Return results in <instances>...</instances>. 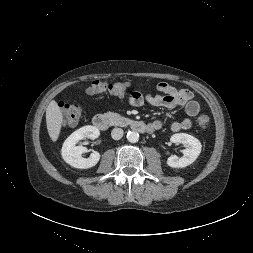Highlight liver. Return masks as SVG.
<instances>
[{"mask_svg":"<svg viewBox=\"0 0 253 253\" xmlns=\"http://www.w3.org/2000/svg\"><path fill=\"white\" fill-rule=\"evenodd\" d=\"M63 123V115L55 100H52L46 109V124L49 136L53 142L58 140Z\"/></svg>","mask_w":253,"mask_h":253,"instance_id":"obj_1","label":"liver"}]
</instances>
